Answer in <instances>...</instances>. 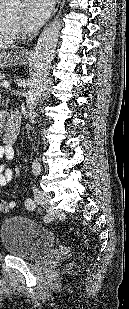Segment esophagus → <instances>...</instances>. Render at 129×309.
<instances>
[{
  "instance_id": "1",
  "label": "esophagus",
  "mask_w": 129,
  "mask_h": 309,
  "mask_svg": "<svg viewBox=\"0 0 129 309\" xmlns=\"http://www.w3.org/2000/svg\"><path fill=\"white\" fill-rule=\"evenodd\" d=\"M60 5V0H56L55 4H54V8H53V14H55V12L58 10ZM26 54H28V51H25Z\"/></svg>"
}]
</instances>
